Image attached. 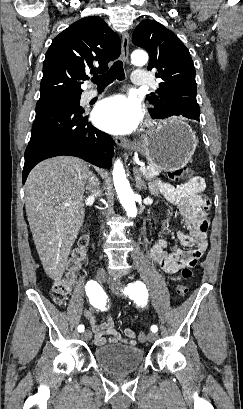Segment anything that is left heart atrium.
<instances>
[{"instance_id":"1","label":"left heart atrium","mask_w":243,"mask_h":409,"mask_svg":"<svg viewBox=\"0 0 243 409\" xmlns=\"http://www.w3.org/2000/svg\"><path fill=\"white\" fill-rule=\"evenodd\" d=\"M143 117L140 102L133 97L115 95L108 97L95 107L94 123L111 134H127L134 131Z\"/></svg>"}]
</instances>
